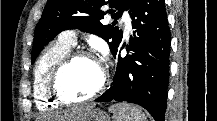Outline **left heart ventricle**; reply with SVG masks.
I'll return each instance as SVG.
<instances>
[{"label":"left heart ventricle","mask_w":217,"mask_h":121,"mask_svg":"<svg viewBox=\"0 0 217 121\" xmlns=\"http://www.w3.org/2000/svg\"><path fill=\"white\" fill-rule=\"evenodd\" d=\"M101 77L102 69L97 61L81 58L62 73L60 89L67 97L81 99L98 87Z\"/></svg>","instance_id":"obj_1"}]
</instances>
